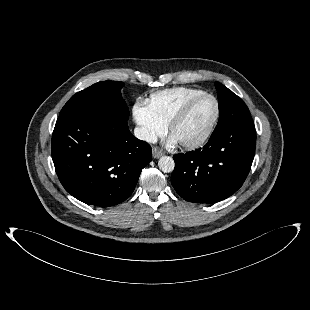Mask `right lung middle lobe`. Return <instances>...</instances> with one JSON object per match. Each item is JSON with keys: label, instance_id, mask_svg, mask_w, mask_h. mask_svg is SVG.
I'll list each match as a JSON object with an SVG mask.
<instances>
[{"label": "right lung middle lobe", "instance_id": "right-lung-middle-lobe-1", "mask_svg": "<svg viewBox=\"0 0 310 310\" xmlns=\"http://www.w3.org/2000/svg\"><path fill=\"white\" fill-rule=\"evenodd\" d=\"M123 83L119 81H102L74 94L65 106L60 115L83 110L106 111L129 118V109L121 96Z\"/></svg>", "mask_w": 310, "mask_h": 310}]
</instances>
